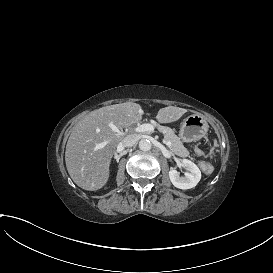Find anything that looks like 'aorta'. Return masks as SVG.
I'll return each mask as SVG.
<instances>
[{"label": "aorta", "instance_id": "obj_1", "mask_svg": "<svg viewBox=\"0 0 273 273\" xmlns=\"http://www.w3.org/2000/svg\"><path fill=\"white\" fill-rule=\"evenodd\" d=\"M139 148L142 150V151H149L151 148H152V144L149 140L147 139H142L140 140L139 142Z\"/></svg>", "mask_w": 273, "mask_h": 273}]
</instances>
